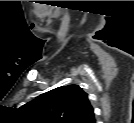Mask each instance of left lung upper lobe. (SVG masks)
<instances>
[{
    "instance_id": "left-lung-upper-lobe-1",
    "label": "left lung upper lobe",
    "mask_w": 134,
    "mask_h": 123,
    "mask_svg": "<svg viewBox=\"0 0 134 123\" xmlns=\"http://www.w3.org/2000/svg\"><path fill=\"white\" fill-rule=\"evenodd\" d=\"M41 120L56 123H94V110L87 93L78 85H67L41 94L24 105Z\"/></svg>"
}]
</instances>
